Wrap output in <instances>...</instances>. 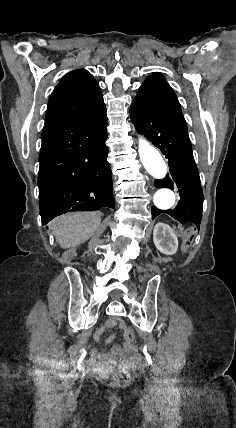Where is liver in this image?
I'll return each instance as SVG.
<instances>
[{"instance_id":"liver-1","label":"liver","mask_w":236,"mask_h":428,"mask_svg":"<svg viewBox=\"0 0 236 428\" xmlns=\"http://www.w3.org/2000/svg\"><path fill=\"white\" fill-rule=\"evenodd\" d=\"M101 218L97 212L65 214L50 222V228L60 248H76L99 230Z\"/></svg>"}]
</instances>
